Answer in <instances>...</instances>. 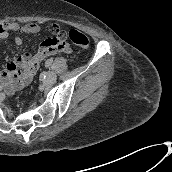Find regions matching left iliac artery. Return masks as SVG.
<instances>
[{"mask_svg":"<svg viewBox=\"0 0 172 172\" xmlns=\"http://www.w3.org/2000/svg\"><path fill=\"white\" fill-rule=\"evenodd\" d=\"M52 62H53L52 59H48V60L46 61V65H47V66H50V65L52 64ZM44 78H45V77H44Z\"/></svg>","mask_w":172,"mask_h":172,"instance_id":"1","label":"left iliac artery"}]
</instances>
